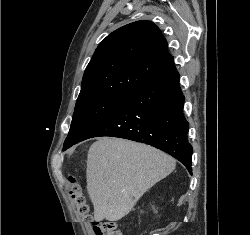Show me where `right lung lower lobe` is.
Returning <instances> with one entry per match:
<instances>
[{
	"label": "right lung lower lobe",
	"mask_w": 250,
	"mask_h": 235,
	"mask_svg": "<svg viewBox=\"0 0 250 235\" xmlns=\"http://www.w3.org/2000/svg\"><path fill=\"white\" fill-rule=\"evenodd\" d=\"M184 99L179 73L172 61L165 71L136 91L120 108L88 130L76 143L98 136L142 142L170 154L192 174L193 148L187 139Z\"/></svg>",
	"instance_id": "obj_1"
}]
</instances>
